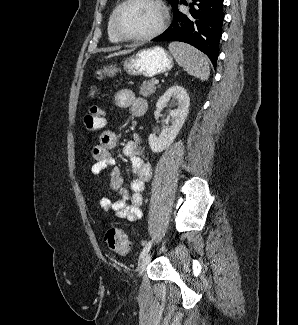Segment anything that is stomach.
Listing matches in <instances>:
<instances>
[{
  "label": "stomach",
  "mask_w": 298,
  "mask_h": 325,
  "mask_svg": "<svg viewBox=\"0 0 298 325\" xmlns=\"http://www.w3.org/2000/svg\"><path fill=\"white\" fill-rule=\"evenodd\" d=\"M127 58H124L123 70L131 76H148L154 78L156 74L168 72L174 66L173 56L163 46H149V48H138L136 52L131 50ZM107 78H113L120 72L117 64H105L102 68ZM99 84H91L87 92V98L93 100L99 94Z\"/></svg>",
  "instance_id": "obj_1"
}]
</instances>
